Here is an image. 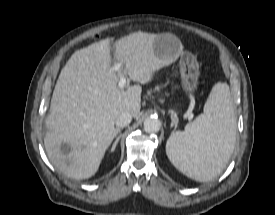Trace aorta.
Wrapping results in <instances>:
<instances>
[{
  "label": "aorta",
  "instance_id": "aorta-1",
  "mask_svg": "<svg viewBox=\"0 0 275 215\" xmlns=\"http://www.w3.org/2000/svg\"><path fill=\"white\" fill-rule=\"evenodd\" d=\"M161 122L155 116H150L144 121V130L148 133H155L160 130Z\"/></svg>",
  "mask_w": 275,
  "mask_h": 215
}]
</instances>
